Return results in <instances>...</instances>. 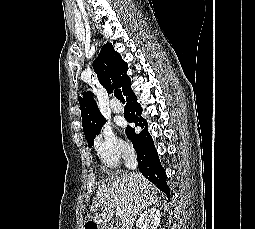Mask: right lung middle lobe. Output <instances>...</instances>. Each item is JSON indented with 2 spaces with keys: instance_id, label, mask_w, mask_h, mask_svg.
Masks as SVG:
<instances>
[{
  "instance_id": "right-lung-middle-lobe-1",
  "label": "right lung middle lobe",
  "mask_w": 255,
  "mask_h": 229,
  "mask_svg": "<svg viewBox=\"0 0 255 229\" xmlns=\"http://www.w3.org/2000/svg\"><path fill=\"white\" fill-rule=\"evenodd\" d=\"M104 123H105V122H103V123L98 127V129L96 130L95 134H94L91 138L87 139V141H88V146H89V147H91V146L93 145L94 138H95L96 134L101 130V128H102V126L104 125Z\"/></svg>"
}]
</instances>
